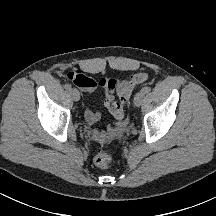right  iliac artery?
I'll return each mask as SVG.
<instances>
[{
	"label": "right iliac artery",
	"instance_id": "1",
	"mask_svg": "<svg viewBox=\"0 0 216 216\" xmlns=\"http://www.w3.org/2000/svg\"><path fill=\"white\" fill-rule=\"evenodd\" d=\"M64 88H65L66 90H71V85H70V84H65V85H64Z\"/></svg>",
	"mask_w": 216,
	"mask_h": 216
}]
</instances>
